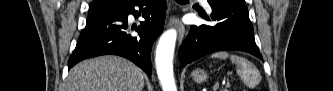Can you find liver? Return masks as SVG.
<instances>
[{
  "label": "liver",
  "instance_id": "1",
  "mask_svg": "<svg viewBox=\"0 0 333 91\" xmlns=\"http://www.w3.org/2000/svg\"><path fill=\"white\" fill-rule=\"evenodd\" d=\"M143 71L117 56L84 60L67 77L65 91H142Z\"/></svg>",
  "mask_w": 333,
  "mask_h": 91
}]
</instances>
